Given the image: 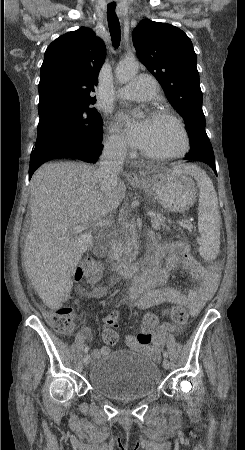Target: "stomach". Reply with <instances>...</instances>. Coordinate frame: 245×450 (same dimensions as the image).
<instances>
[{
    "label": "stomach",
    "mask_w": 245,
    "mask_h": 450,
    "mask_svg": "<svg viewBox=\"0 0 245 450\" xmlns=\"http://www.w3.org/2000/svg\"><path fill=\"white\" fill-rule=\"evenodd\" d=\"M136 185L152 196L167 212L181 213L195 202L197 188L183 166L159 169L151 172Z\"/></svg>",
    "instance_id": "obj_1"
}]
</instances>
